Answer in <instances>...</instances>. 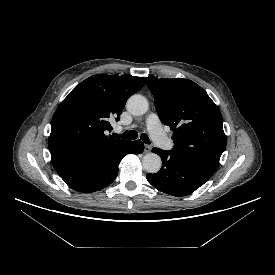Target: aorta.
<instances>
[{"mask_svg": "<svg viewBox=\"0 0 275 275\" xmlns=\"http://www.w3.org/2000/svg\"><path fill=\"white\" fill-rule=\"evenodd\" d=\"M149 107L147 99L142 96L135 94L131 96L127 103V110L133 115H143L147 112ZM142 165L145 171L148 173H157L162 165V161L159 155L155 153H148L142 159Z\"/></svg>", "mask_w": 275, "mask_h": 275, "instance_id": "obj_1", "label": "aorta"}]
</instances>
